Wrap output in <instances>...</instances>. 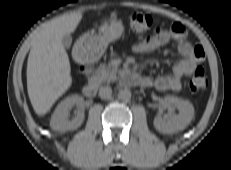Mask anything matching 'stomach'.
Returning <instances> with one entry per match:
<instances>
[{
	"label": "stomach",
	"instance_id": "0dacf381",
	"mask_svg": "<svg viewBox=\"0 0 231 170\" xmlns=\"http://www.w3.org/2000/svg\"><path fill=\"white\" fill-rule=\"evenodd\" d=\"M124 32L123 24L117 19H107L98 29H92L82 35L76 45L90 59H98L109 43L118 40Z\"/></svg>",
	"mask_w": 231,
	"mask_h": 170
}]
</instances>
